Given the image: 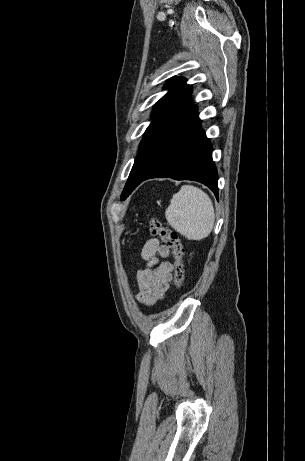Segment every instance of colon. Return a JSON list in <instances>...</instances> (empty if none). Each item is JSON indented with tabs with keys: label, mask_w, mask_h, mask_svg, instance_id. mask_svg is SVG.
Segmentation results:
<instances>
[{
	"label": "colon",
	"mask_w": 305,
	"mask_h": 461,
	"mask_svg": "<svg viewBox=\"0 0 305 461\" xmlns=\"http://www.w3.org/2000/svg\"><path fill=\"white\" fill-rule=\"evenodd\" d=\"M148 227L152 236H159L172 249L175 266L174 284L177 288H181L185 280L184 248L177 233L165 227L158 219H151Z\"/></svg>",
	"instance_id": "5ec220e1"
}]
</instances>
